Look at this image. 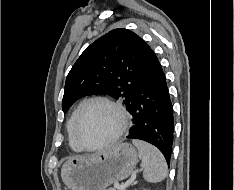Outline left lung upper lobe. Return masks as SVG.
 Listing matches in <instances>:
<instances>
[{"mask_svg":"<svg viewBox=\"0 0 234 190\" xmlns=\"http://www.w3.org/2000/svg\"><path fill=\"white\" fill-rule=\"evenodd\" d=\"M142 43L134 32L114 29L89 45L66 78L63 112L90 94H108L127 105L140 79Z\"/></svg>","mask_w":234,"mask_h":190,"instance_id":"1","label":"left lung upper lobe"}]
</instances>
